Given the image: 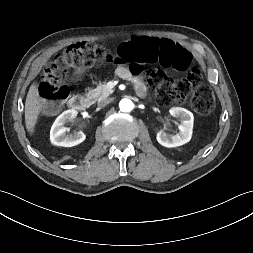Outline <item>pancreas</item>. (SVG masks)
Wrapping results in <instances>:
<instances>
[{"instance_id":"1","label":"pancreas","mask_w":253,"mask_h":253,"mask_svg":"<svg viewBox=\"0 0 253 253\" xmlns=\"http://www.w3.org/2000/svg\"><path fill=\"white\" fill-rule=\"evenodd\" d=\"M113 92V89L108 88L106 83H103L99 84V86H97L95 89H90L86 96L94 103L96 101L107 98Z\"/></svg>"}]
</instances>
